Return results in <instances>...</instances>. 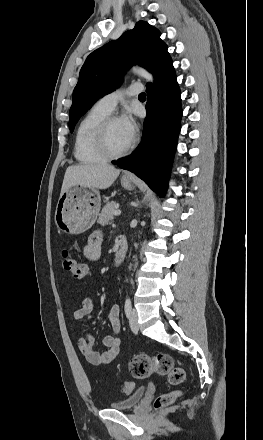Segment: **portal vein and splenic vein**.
<instances>
[{"label":"portal vein and splenic vein","instance_id":"portal-vein-and-splenic-vein-1","mask_svg":"<svg viewBox=\"0 0 263 440\" xmlns=\"http://www.w3.org/2000/svg\"><path fill=\"white\" fill-rule=\"evenodd\" d=\"M121 214V211L120 210H116L115 212H114V215H116V216H118V215H120Z\"/></svg>","mask_w":263,"mask_h":440}]
</instances>
